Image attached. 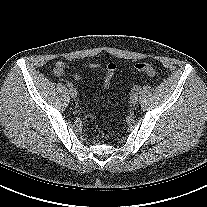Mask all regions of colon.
<instances>
[{
  "mask_svg": "<svg viewBox=\"0 0 207 207\" xmlns=\"http://www.w3.org/2000/svg\"><path fill=\"white\" fill-rule=\"evenodd\" d=\"M135 69L149 77H154L156 75V69L152 64L146 62H139L135 65ZM97 121V117L94 114H88L85 116V122L87 124H92Z\"/></svg>",
  "mask_w": 207,
  "mask_h": 207,
  "instance_id": "5ec220e1",
  "label": "colon"
}]
</instances>
